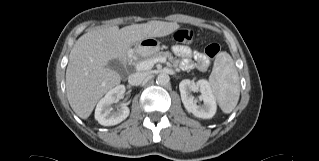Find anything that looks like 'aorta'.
Segmentation results:
<instances>
[{"mask_svg": "<svg viewBox=\"0 0 319 161\" xmlns=\"http://www.w3.org/2000/svg\"><path fill=\"white\" fill-rule=\"evenodd\" d=\"M169 81H170V77L166 73H160L156 79L157 84H159L161 86L167 85L169 83Z\"/></svg>", "mask_w": 319, "mask_h": 161, "instance_id": "762f6f07", "label": "aorta"}]
</instances>
